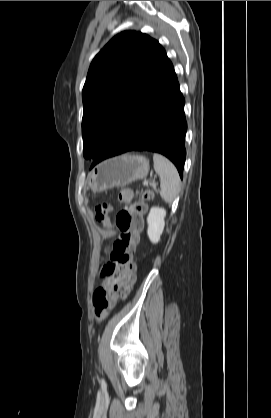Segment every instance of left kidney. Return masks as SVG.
Here are the masks:
<instances>
[{"instance_id":"1","label":"left kidney","mask_w":271,"mask_h":418,"mask_svg":"<svg viewBox=\"0 0 271 418\" xmlns=\"http://www.w3.org/2000/svg\"><path fill=\"white\" fill-rule=\"evenodd\" d=\"M166 211L160 207H152L147 217L148 230L147 234L150 241L154 244L158 243L163 233Z\"/></svg>"}]
</instances>
